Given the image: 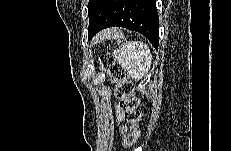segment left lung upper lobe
<instances>
[{"label":"left lung upper lobe","mask_w":231,"mask_h":151,"mask_svg":"<svg viewBox=\"0 0 231 151\" xmlns=\"http://www.w3.org/2000/svg\"><path fill=\"white\" fill-rule=\"evenodd\" d=\"M111 0H89L88 3V16L89 27L88 32L93 30L99 23L104 11Z\"/></svg>","instance_id":"obj_1"}]
</instances>
